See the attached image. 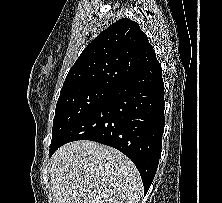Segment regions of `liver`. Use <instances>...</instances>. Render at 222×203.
Here are the masks:
<instances>
[{
  "instance_id": "liver-1",
  "label": "liver",
  "mask_w": 222,
  "mask_h": 203,
  "mask_svg": "<svg viewBox=\"0 0 222 203\" xmlns=\"http://www.w3.org/2000/svg\"><path fill=\"white\" fill-rule=\"evenodd\" d=\"M54 203H139L143 184L133 162L120 151L75 141L52 156Z\"/></svg>"
}]
</instances>
